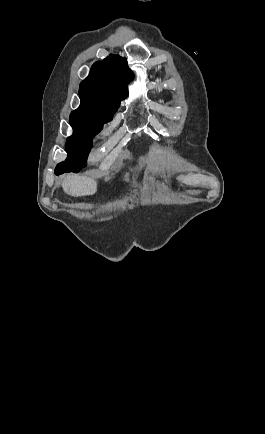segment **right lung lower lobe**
I'll list each match as a JSON object with an SVG mask.
<instances>
[{
  "mask_svg": "<svg viewBox=\"0 0 265 434\" xmlns=\"http://www.w3.org/2000/svg\"><path fill=\"white\" fill-rule=\"evenodd\" d=\"M65 172H66L65 169H55V174L56 175H59V174L65 173Z\"/></svg>",
  "mask_w": 265,
  "mask_h": 434,
  "instance_id": "98d812e1",
  "label": "right lung lower lobe"
}]
</instances>
